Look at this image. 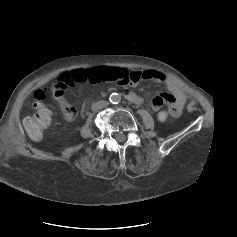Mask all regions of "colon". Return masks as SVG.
<instances>
[{"mask_svg": "<svg viewBox=\"0 0 237 237\" xmlns=\"http://www.w3.org/2000/svg\"><path fill=\"white\" fill-rule=\"evenodd\" d=\"M136 81L137 77L133 72H128L119 68L103 67L92 70H74L63 73L51 87L36 90L33 104L34 113L24 119V127L31 138L39 139L42 137L45 129L51 122V111L44 103L49 93H52L54 96H63L69 86L83 84L85 82H115L120 85H129ZM64 111L69 115H74L76 110L74 106L66 103ZM171 115L169 110H162L158 112L157 119L160 122H167Z\"/></svg>", "mask_w": 237, "mask_h": 237, "instance_id": "colon-1", "label": "colon"}]
</instances>
